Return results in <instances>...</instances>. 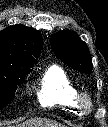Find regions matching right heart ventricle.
<instances>
[{
	"instance_id": "1",
	"label": "right heart ventricle",
	"mask_w": 108,
	"mask_h": 127,
	"mask_svg": "<svg viewBox=\"0 0 108 127\" xmlns=\"http://www.w3.org/2000/svg\"><path fill=\"white\" fill-rule=\"evenodd\" d=\"M77 94V88L69 74L61 66L51 65L40 79L37 99L44 108L68 110L77 107Z\"/></svg>"
}]
</instances>
